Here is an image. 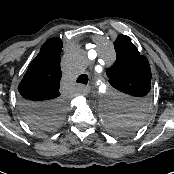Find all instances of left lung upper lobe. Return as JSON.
Here are the masks:
<instances>
[{
	"label": "left lung upper lobe",
	"mask_w": 174,
	"mask_h": 174,
	"mask_svg": "<svg viewBox=\"0 0 174 174\" xmlns=\"http://www.w3.org/2000/svg\"><path fill=\"white\" fill-rule=\"evenodd\" d=\"M114 48L117 58L107 70L109 82L117 90L133 96L134 101L125 115H110L108 121L114 134L125 136L136 131L145 119L149 108L151 70L147 58L139 53L128 36L118 35Z\"/></svg>",
	"instance_id": "1"
}]
</instances>
